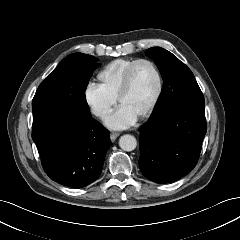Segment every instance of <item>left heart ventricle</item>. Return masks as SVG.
<instances>
[{"label":"left heart ventricle","instance_id":"obj_1","mask_svg":"<svg viewBox=\"0 0 240 240\" xmlns=\"http://www.w3.org/2000/svg\"><path fill=\"white\" fill-rule=\"evenodd\" d=\"M157 91V78L147 63L138 64L132 74L131 87L121 105L137 117L150 105Z\"/></svg>","mask_w":240,"mask_h":240}]
</instances>
